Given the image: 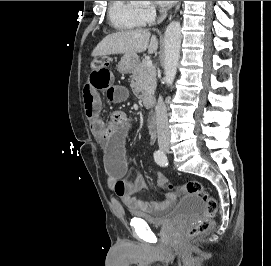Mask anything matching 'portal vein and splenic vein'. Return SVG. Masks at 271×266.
<instances>
[{
    "label": "portal vein and splenic vein",
    "instance_id": "18ae733b",
    "mask_svg": "<svg viewBox=\"0 0 271 266\" xmlns=\"http://www.w3.org/2000/svg\"><path fill=\"white\" fill-rule=\"evenodd\" d=\"M146 66H147V67H152V61H151V60H148L147 63H146Z\"/></svg>",
    "mask_w": 271,
    "mask_h": 266
}]
</instances>
